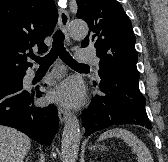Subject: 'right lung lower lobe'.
<instances>
[{
    "instance_id": "98d812e1",
    "label": "right lung lower lobe",
    "mask_w": 168,
    "mask_h": 162,
    "mask_svg": "<svg viewBox=\"0 0 168 162\" xmlns=\"http://www.w3.org/2000/svg\"><path fill=\"white\" fill-rule=\"evenodd\" d=\"M0 84V124L16 128L30 138L50 145L58 129V113L53 105L40 107L34 99L42 96L39 88L25 90L23 77Z\"/></svg>"
}]
</instances>
